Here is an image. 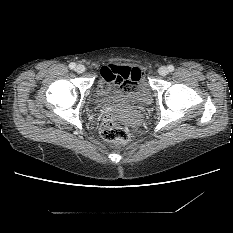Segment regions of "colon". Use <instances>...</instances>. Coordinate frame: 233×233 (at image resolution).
<instances>
[{"mask_svg":"<svg viewBox=\"0 0 233 233\" xmlns=\"http://www.w3.org/2000/svg\"><path fill=\"white\" fill-rule=\"evenodd\" d=\"M133 70L120 68L115 73V80L126 91H132L138 83L137 75ZM100 133L104 139L111 143L124 145L129 141V134L123 124L122 116L118 109L104 107L100 113Z\"/></svg>","mask_w":233,"mask_h":233,"instance_id":"1","label":"colon"}]
</instances>
